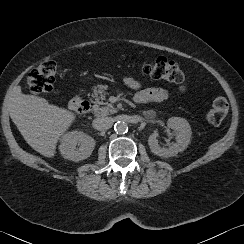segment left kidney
Wrapping results in <instances>:
<instances>
[{"instance_id":"obj_1","label":"left kidney","mask_w":244,"mask_h":244,"mask_svg":"<svg viewBox=\"0 0 244 244\" xmlns=\"http://www.w3.org/2000/svg\"><path fill=\"white\" fill-rule=\"evenodd\" d=\"M167 126L174 130L176 142L170 143L168 147H161L158 143V133H152L148 138V144L151 151L161 157H173L179 152H183L191 141V127L188 121L181 117H171L167 121Z\"/></svg>"}]
</instances>
